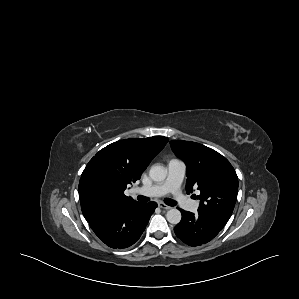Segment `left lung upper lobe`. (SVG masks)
I'll return each instance as SVG.
<instances>
[{"label": "left lung upper lobe", "mask_w": 299, "mask_h": 299, "mask_svg": "<svg viewBox=\"0 0 299 299\" xmlns=\"http://www.w3.org/2000/svg\"><path fill=\"white\" fill-rule=\"evenodd\" d=\"M174 153L186 164V192L200 190L198 211L221 225L233 212L238 192V177L230 162L215 150L202 144L172 140Z\"/></svg>", "instance_id": "obj_1"}]
</instances>
